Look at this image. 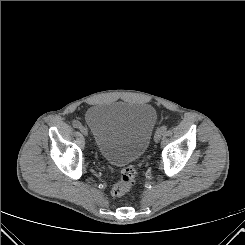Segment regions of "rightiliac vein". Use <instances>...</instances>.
Listing matches in <instances>:
<instances>
[{
  "mask_svg": "<svg viewBox=\"0 0 245 245\" xmlns=\"http://www.w3.org/2000/svg\"><path fill=\"white\" fill-rule=\"evenodd\" d=\"M80 131H81V133H82L83 135H85V136L88 135V130H87L85 127L81 126V127H80Z\"/></svg>",
  "mask_w": 245,
  "mask_h": 245,
  "instance_id": "right-iliac-vein-1",
  "label": "right iliac vein"
}]
</instances>
